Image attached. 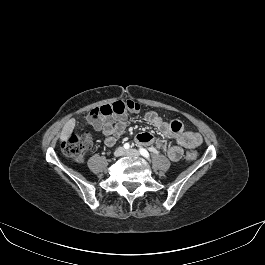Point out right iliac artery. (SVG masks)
<instances>
[{
	"mask_svg": "<svg viewBox=\"0 0 265 265\" xmlns=\"http://www.w3.org/2000/svg\"><path fill=\"white\" fill-rule=\"evenodd\" d=\"M124 148H125V149H129V148H130L129 143H125V144H124Z\"/></svg>",
	"mask_w": 265,
	"mask_h": 265,
	"instance_id": "82829eb1",
	"label": "right iliac artery"
}]
</instances>
